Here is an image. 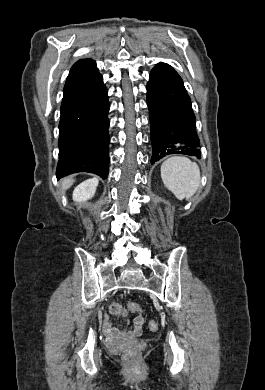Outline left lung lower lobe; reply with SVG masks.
Instances as JSON below:
<instances>
[{
	"label": "left lung lower lobe",
	"instance_id": "left-lung-lower-lobe-1",
	"mask_svg": "<svg viewBox=\"0 0 265 390\" xmlns=\"http://www.w3.org/2000/svg\"><path fill=\"white\" fill-rule=\"evenodd\" d=\"M152 157L151 163L171 154L201 158L191 99L178 73L158 63L147 84Z\"/></svg>",
	"mask_w": 265,
	"mask_h": 390
}]
</instances>
